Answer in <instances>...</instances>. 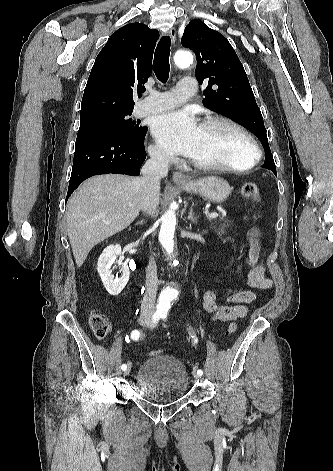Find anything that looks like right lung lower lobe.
<instances>
[{"label":"right lung lower lobe","mask_w":333,"mask_h":471,"mask_svg":"<svg viewBox=\"0 0 333 471\" xmlns=\"http://www.w3.org/2000/svg\"><path fill=\"white\" fill-rule=\"evenodd\" d=\"M110 130L78 132L66 201L87 178L99 174L137 176L146 158L144 139Z\"/></svg>","instance_id":"right-lung-lower-lobe-1"}]
</instances>
